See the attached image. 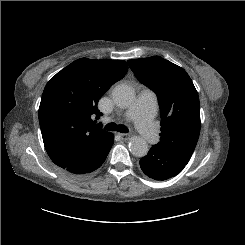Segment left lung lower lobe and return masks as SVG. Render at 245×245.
Returning <instances> with one entry per match:
<instances>
[{
    "label": "left lung lower lobe",
    "instance_id": "left-lung-lower-lobe-1",
    "mask_svg": "<svg viewBox=\"0 0 245 245\" xmlns=\"http://www.w3.org/2000/svg\"><path fill=\"white\" fill-rule=\"evenodd\" d=\"M186 165L155 145L151 147L146 156L140 159L142 171L148 177L160 181L178 175Z\"/></svg>",
    "mask_w": 245,
    "mask_h": 245
}]
</instances>
